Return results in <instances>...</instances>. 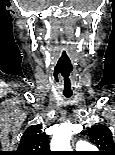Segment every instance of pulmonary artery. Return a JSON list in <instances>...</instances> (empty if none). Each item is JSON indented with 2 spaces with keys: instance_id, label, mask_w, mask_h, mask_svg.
Returning <instances> with one entry per match:
<instances>
[{
  "instance_id": "e3ab8cb5",
  "label": "pulmonary artery",
  "mask_w": 115,
  "mask_h": 155,
  "mask_svg": "<svg viewBox=\"0 0 115 155\" xmlns=\"http://www.w3.org/2000/svg\"><path fill=\"white\" fill-rule=\"evenodd\" d=\"M76 148L79 150H88L92 149V146L86 141H78L76 143Z\"/></svg>"
}]
</instances>
